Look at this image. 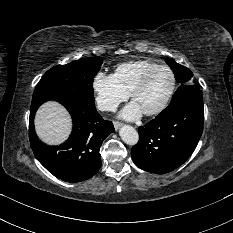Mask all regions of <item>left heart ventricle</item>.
I'll return each mask as SVG.
<instances>
[{"label":"left heart ventricle","mask_w":233,"mask_h":233,"mask_svg":"<svg viewBox=\"0 0 233 233\" xmlns=\"http://www.w3.org/2000/svg\"><path fill=\"white\" fill-rule=\"evenodd\" d=\"M172 84V77L168 70L156 71L148 80L146 86L135 95L133 102L143 113L158 107L168 94Z\"/></svg>","instance_id":"b2bd125f"}]
</instances>
